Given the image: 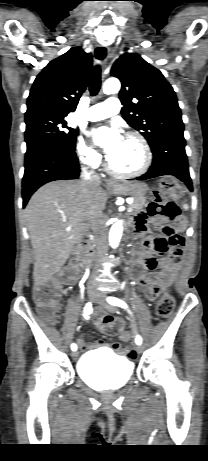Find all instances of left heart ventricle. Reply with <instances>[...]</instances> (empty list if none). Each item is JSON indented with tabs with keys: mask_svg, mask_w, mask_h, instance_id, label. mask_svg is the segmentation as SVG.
I'll return each instance as SVG.
<instances>
[{
	"mask_svg": "<svg viewBox=\"0 0 208 461\" xmlns=\"http://www.w3.org/2000/svg\"><path fill=\"white\" fill-rule=\"evenodd\" d=\"M109 159L116 170L132 172L142 166L144 155L141 145L136 139L123 137L120 145L109 156Z\"/></svg>",
	"mask_w": 208,
	"mask_h": 461,
	"instance_id": "b2bd125f",
	"label": "left heart ventricle"
}]
</instances>
